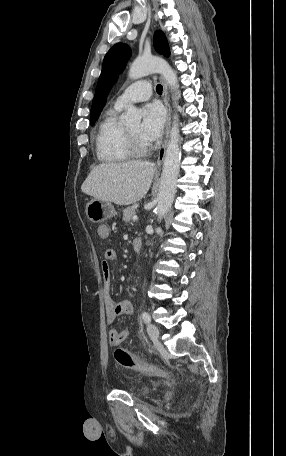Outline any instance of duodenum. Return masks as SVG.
<instances>
[{"instance_id":"duodenum-1","label":"duodenum","mask_w":286,"mask_h":456,"mask_svg":"<svg viewBox=\"0 0 286 456\" xmlns=\"http://www.w3.org/2000/svg\"><path fill=\"white\" fill-rule=\"evenodd\" d=\"M142 241L140 238H134L132 240V248L135 252H139L141 250Z\"/></svg>"}]
</instances>
